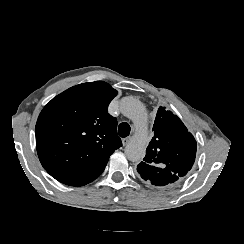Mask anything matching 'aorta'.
I'll return each mask as SVG.
<instances>
[{
	"label": "aorta",
	"mask_w": 244,
	"mask_h": 244,
	"mask_svg": "<svg viewBox=\"0 0 244 244\" xmlns=\"http://www.w3.org/2000/svg\"><path fill=\"white\" fill-rule=\"evenodd\" d=\"M120 107L122 113L131 119L137 128V133L126 145L124 152L130 161L138 162L144 156L147 143V113L144 105L132 97L122 99Z\"/></svg>",
	"instance_id": "obj_1"
}]
</instances>
